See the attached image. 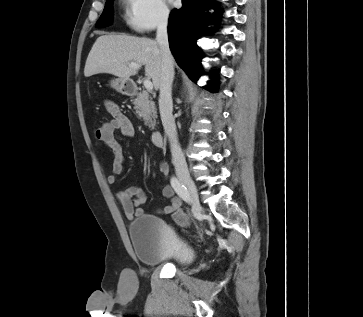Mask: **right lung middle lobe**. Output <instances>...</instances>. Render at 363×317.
<instances>
[{"mask_svg":"<svg viewBox=\"0 0 363 317\" xmlns=\"http://www.w3.org/2000/svg\"><path fill=\"white\" fill-rule=\"evenodd\" d=\"M112 2L113 0H107L104 11L96 23V27H106L112 22Z\"/></svg>","mask_w":363,"mask_h":317,"instance_id":"right-lung-middle-lobe-1","label":"right lung middle lobe"}]
</instances>
